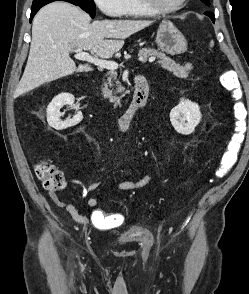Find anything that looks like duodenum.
Instances as JSON below:
<instances>
[{"label": "duodenum", "mask_w": 249, "mask_h": 294, "mask_svg": "<svg viewBox=\"0 0 249 294\" xmlns=\"http://www.w3.org/2000/svg\"><path fill=\"white\" fill-rule=\"evenodd\" d=\"M149 88L146 79L142 75L135 78V93L130 107L117 119V127L120 131L126 130L133 118L144 109L147 103Z\"/></svg>", "instance_id": "410a0bca"}]
</instances>
